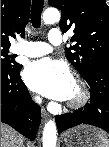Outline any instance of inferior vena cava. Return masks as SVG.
<instances>
[{"instance_id":"inferior-vena-cava-1","label":"inferior vena cava","mask_w":109,"mask_h":147,"mask_svg":"<svg viewBox=\"0 0 109 147\" xmlns=\"http://www.w3.org/2000/svg\"><path fill=\"white\" fill-rule=\"evenodd\" d=\"M35 101L40 104L42 102V99L39 96H37L35 97Z\"/></svg>"}]
</instances>
